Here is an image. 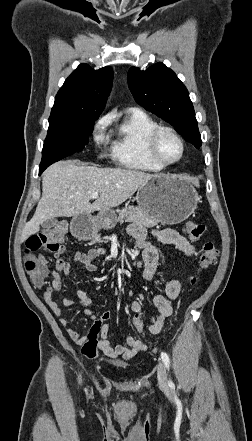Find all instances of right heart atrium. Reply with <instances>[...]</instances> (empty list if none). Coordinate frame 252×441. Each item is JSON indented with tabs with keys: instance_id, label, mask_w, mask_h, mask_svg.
<instances>
[{
	"instance_id": "obj_1",
	"label": "right heart atrium",
	"mask_w": 252,
	"mask_h": 441,
	"mask_svg": "<svg viewBox=\"0 0 252 441\" xmlns=\"http://www.w3.org/2000/svg\"><path fill=\"white\" fill-rule=\"evenodd\" d=\"M108 123H109V119L107 117H103L95 123L92 132V139L95 146L100 147L107 143L108 138L105 132Z\"/></svg>"
}]
</instances>
